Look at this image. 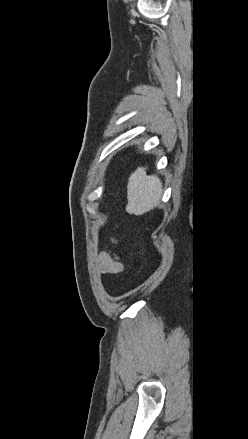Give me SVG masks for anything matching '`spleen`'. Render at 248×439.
Listing matches in <instances>:
<instances>
[{"label":"spleen","mask_w":248,"mask_h":439,"mask_svg":"<svg viewBox=\"0 0 248 439\" xmlns=\"http://www.w3.org/2000/svg\"><path fill=\"white\" fill-rule=\"evenodd\" d=\"M162 196V183L155 176H148L146 168L138 167L132 173L127 185V211L142 215L156 207Z\"/></svg>","instance_id":"obj_1"}]
</instances>
